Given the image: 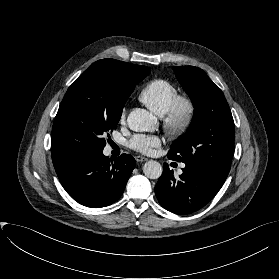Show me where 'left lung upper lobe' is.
<instances>
[{
    "mask_svg": "<svg viewBox=\"0 0 279 279\" xmlns=\"http://www.w3.org/2000/svg\"><path fill=\"white\" fill-rule=\"evenodd\" d=\"M194 106L187 132L170 147L168 158L211 171L226 180L234 150V121L218 86L200 68L173 67Z\"/></svg>",
    "mask_w": 279,
    "mask_h": 279,
    "instance_id": "1",
    "label": "left lung upper lobe"
}]
</instances>
